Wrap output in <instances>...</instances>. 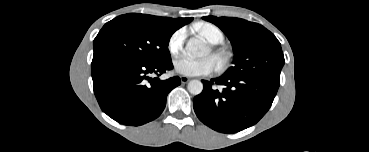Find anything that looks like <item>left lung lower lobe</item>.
<instances>
[{"label":"left lung lower lobe","mask_w":369,"mask_h":152,"mask_svg":"<svg viewBox=\"0 0 369 152\" xmlns=\"http://www.w3.org/2000/svg\"><path fill=\"white\" fill-rule=\"evenodd\" d=\"M202 82V93L193 99L194 111L201 122L222 133L256 124L271 107L280 85V80L260 76L222 75ZM214 83L223 89H216Z\"/></svg>","instance_id":"1"}]
</instances>
